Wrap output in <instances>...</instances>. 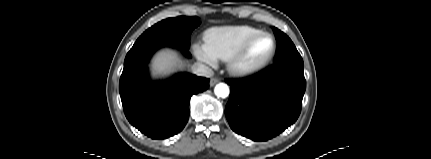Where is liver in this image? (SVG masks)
<instances>
[{
	"instance_id": "1",
	"label": "liver",
	"mask_w": 431,
	"mask_h": 159,
	"mask_svg": "<svg viewBox=\"0 0 431 159\" xmlns=\"http://www.w3.org/2000/svg\"><path fill=\"white\" fill-rule=\"evenodd\" d=\"M181 66L182 61L177 53L171 50L158 52L152 61V71L154 75H166L173 72L175 68Z\"/></svg>"
}]
</instances>
